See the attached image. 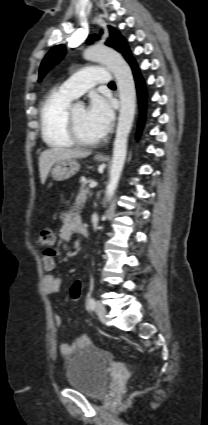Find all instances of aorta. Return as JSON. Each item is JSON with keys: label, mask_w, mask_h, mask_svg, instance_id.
<instances>
[{"label": "aorta", "mask_w": 208, "mask_h": 425, "mask_svg": "<svg viewBox=\"0 0 208 425\" xmlns=\"http://www.w3.org/2000/svg\"><path fill=\"white\" fill-rule=\"evenodd\" d=\"M86 60L104 63L116 78L120 99V111L114 140L110 180L106 188L109 200L117 186L127 154L128 135L131 131L135 108L136 89L132 71L123 57L113 49L104 46H91L84 52Z\"/></svg>", "instance_id": "obj_1"}]
</instances>
